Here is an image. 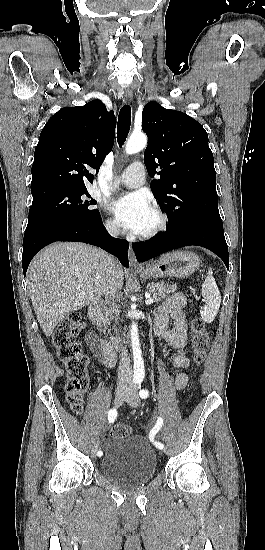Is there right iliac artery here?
Instances as JSON below:
<instances>
[{"label": "right iliac artery", "mask_w": 265, "mask_h": 550, "mask_svg": "<svg viewBox=\"0 0 265 550\" xmlns=\"http://www.w3.org/2000/svg\"><path fill=\"white\" fill-rule=\"evenodd\" d=\"M117 410L115 408L111 409L109 412H108V421L109 423H113L115 421V419L117 418ZM102 452L99 451L97 453V455H101Z\"/></svg>", "instance_id": "1"}]
</instances>
